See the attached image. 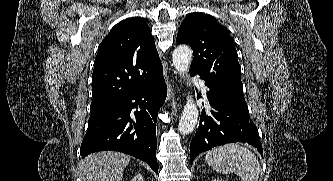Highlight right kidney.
<instances>
[{
  "instance_id": "obj_1",
  "label": "right kidney",
  "mask_w": 333,
  "mask_h": 181,
  "mask_svg": "<svg viewBox=\"0 0 333 181\" xmlns=\"http://www.w3.org/2000/svg\"><path fill=\"white\" fill-rule=\"evenodd\" d=\"M131 181H144V177L141 174H137Z\"/></svg>"
}]
</instances>
